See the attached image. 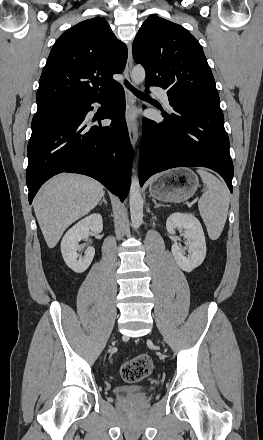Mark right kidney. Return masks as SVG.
<instances>
[{"mask_svg": "<svg viewBox=\"0 0 263 440\" xmlns=\"http://www.w3.org/2000/svg\"><path fill=\"white\" fill-rule=\"evenodd\" d=\"M100 233L103 230L102 216L98 213L91 214L71 227L61 241V253L66 265L76 273L84 272L91 264L95 249L88 247L84 257H79L77 251L81 250L79 242L89 236V232ZM79 257V259H77Z\"/></svg>", "mask_w": 263, "mask_h": 440, "instance_id": "ca27d5eb", "label": "right kidney"}]
</instances>
